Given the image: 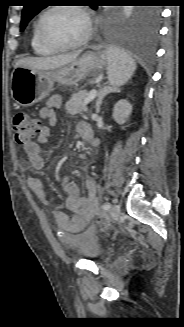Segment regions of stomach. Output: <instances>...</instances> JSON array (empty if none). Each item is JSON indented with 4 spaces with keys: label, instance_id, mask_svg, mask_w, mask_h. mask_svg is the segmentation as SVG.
I'll list each match as a JSON object with an SVG mask.
<instances>
[{
    "label": "stomach",
    "instance_id": "1",
    "mask_svg": "<svg viewBox=\"0 0 184 327\" xmlns=\"http://www.w3.org/2000/svg\"><path fill=\"white\" fill-rule=\"evenodd\" d=\"M106 52L87 51L81 57L53 71L16 67L11 75V95L17 105L28 107L46 98L55 82L76 86L89 75H97L106 65Z\"/></svg>",
    "mask_w": 184,
    "mask_h": 327
}]
</instances>
